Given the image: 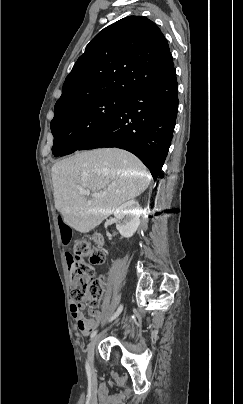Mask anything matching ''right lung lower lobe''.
<instances>
[{
  "mask_svg": "<svg viewBox=\"0 0 243 404\" xmlns=\"http://www.w3.org/2000/svg\"><path fill=\"white\" fill-rule=\"evenodd\" d=\"M177 112L178 87L173 68L162 79L127 96L112 119L78 150L125 149L149 168L154 179L161 178Z\"/></svg>",
  "mask_w": 243,
  "mask_h": 404,
  "instance_id": "98d812e1",
  "label": "right lung lower lobe"
}]
</instances>
